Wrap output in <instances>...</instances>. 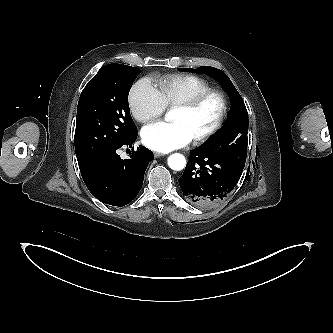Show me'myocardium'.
Wrapping results in <instances>:
<instances>
[{"instance_id": "myocardium-1", "label": "myocardium", "mask_w": 333, "mask_h": 333, "mask_svg": "<svg viewBox=\"0 0 333 333\" xmlns=\"http://www.w3.org/2000/svg\"><path fill=\"white\" fill-rule=\"evenodd\" d=\"M211 97H217L220 100L221 112L216 123L207 132L192 139L195 145H201L207 142L224 126L229 111V104L226 95L220 90L210 89L174 107L175 109L184 111H194Z\"/></svg>"}]
</instances>
